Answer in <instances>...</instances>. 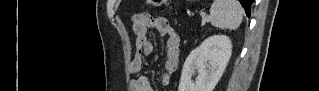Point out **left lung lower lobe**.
Here are the masks:
<instances>
[{
    "label": "left lung lower lobe",
    "mask_w": 319,
    "mask_h": 91,
    "mask_svg": "<svg viewBox=\"0 0 319 91\" xmlns=\"http://www.w3.org/2000/svg\"><path fill=\"white\" fill-rule=\"evenodd\" d=\"M239 2L242 4L243 8L245 9L246 15H251V4L253 0H239Z\"/></svg>",
    "instance_id": "obj_1"
}]
</instances>
